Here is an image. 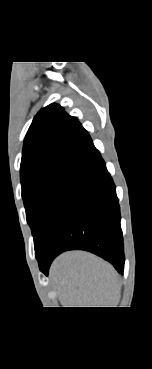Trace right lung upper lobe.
<instances>
[{
    "mask_svg": "<svg viewBox=\"0 0 152 369\" xmlns=\"http://www.w3.org/2000/svg\"><path fill=\"white\" fill-rule=\"evenodd\" d=\"M95 149L76 117L57 104L41 109L30 125L22 152L20 174L62 162L79 164Z\"/></svg>",
    "mask_w": 152,
    "mask_h": 369,
    "instance_id": "1",
    "label": "right lung upper lobe"
}]
</instances>
